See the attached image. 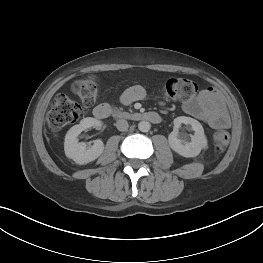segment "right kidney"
<instances>
[{
	"label": "right kidney",
	"mask_w": 263,
	"mask_h": 263,
	"mask_svg": "<svg viewBox=\"0 0 263 263\" xmlns=\"http://www.w3.org/2000/svg\"><path fill=\"white\" fill-rule=\"evenodd\" d=\"M102 122L92 118H84L80 124L73 126L65 136L64 150L68 158L74 160L77 164L83 165L97 159L104 150V144L101 140H95L94 144L87 148L84 142H78V135L91 127H100Z\"/></svg>",
	"instance_id": "right-kidney-1"
}]
</instances>
